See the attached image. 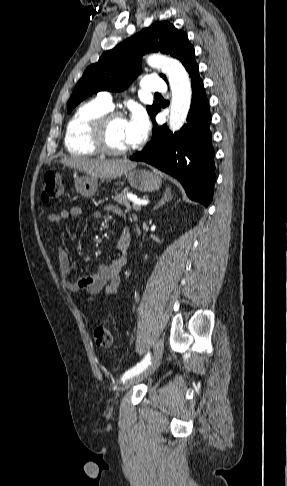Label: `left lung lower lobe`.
<instances>
[{
	"label": "left lung lower lobe",
	"mask_w": 287,
	"mask_h": 486,
	"mask_svg": "<svg viewBox=\"0 0 287 486\" xmlns=\"http://www.w3.org/2000/svg\"><path fill=\"white\" fill-rule=\"evenodd\" d=\"M185 69L192 87L187 122L172 134L166 125L158 127L154 117L151 141L130 159L151 164L177 178L190 199L207 207L211 203L215 183L214 151L209 130L211 114L195 57Z\"/></svg>",
	"instance_id": "left-lung-lower-lobe-1"
}]
</instances>
